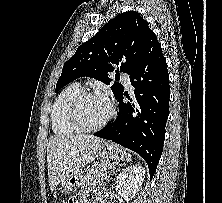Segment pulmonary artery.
Listing matches in <instances>:
<instances>
[{"label":"pulmonary artery","instance_id":"pulmonary-artery-1","mask_svg":"<svg viewBox=\"0 0 222 203\" xmlns=\"http://www.w3.org/2000/svg\"><path fill=\"white\" fill-rule=\"evenodd\" d=\"M121 77H122V80L125 83V85L127 87H131V81H130L129 75L127 73L123 72V73H121Z\"/></svg>","mask_w":222,"mask_h":203}]
</instances>
